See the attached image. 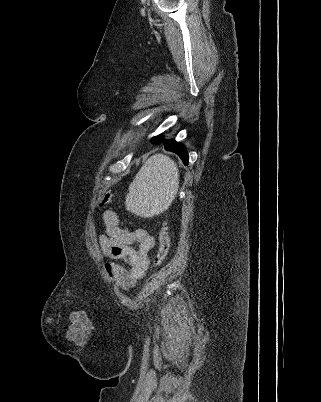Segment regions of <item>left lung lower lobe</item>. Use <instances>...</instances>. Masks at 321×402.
Instances as JSON below:
<instances>
[{
    "label": "left lung lower lobe",
    "mask_w": 321,
    "mask_h": 402,
    "mask_svg": "<svg viewBox=\"0 0 321 402\" xmlns=\"http://www.w3.org/2000/svg\"><path fill=\"white\" fill-rule=\"evenodd\" d=\"M152 142L153 144H159L163 142L166 150L176 153L182 159L185 165L188 164L189 157L187 149L180 142H176L173 139H164L161 135L157 136L154 141L152 140Z\"/></svg>",
    "instance_id": "obj_1"
}]
</instances>
